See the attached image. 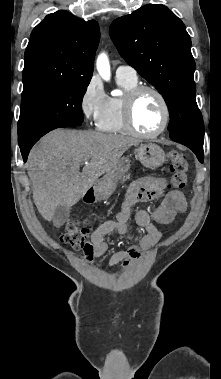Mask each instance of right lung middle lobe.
<instances>
[{"instance_id": "dd1d6c3e", "label": "right lung middle lobe", "mask_w": 221, "mask_h": 379, "mask_svg": "<svg viewBox=\"0 0 221 379\" xmlns=\"http://www.w3.org/2000/svg\"><path fill=\"white\" fill-rule=\"evenodd\" d=\"M90 79L57 83L22 93L18 142L83 122L82 100Z\"/></svg>"}]
</instances>
